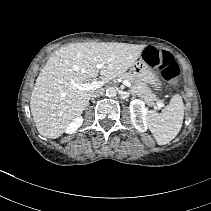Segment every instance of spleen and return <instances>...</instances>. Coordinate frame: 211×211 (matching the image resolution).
I'll list each match as a JSON object with an SVG mask.
<instances>
[{"instance_id":"3e777b00","label":"spleen","mask_w":211,"mask_h":211,"mask_svg":"<svg viewBox=\"0 0 211 211\" xmlns=\"http://www.w3.org/2000/svg\"><path fill=\"white\" fill-rule=\"evenodd\" d=\"M184 118V104L180 95L172 97L161 113L151 110L147 114L148 127L159 145L172 141L180 132Z\"/></svg>"}]
</instances>
